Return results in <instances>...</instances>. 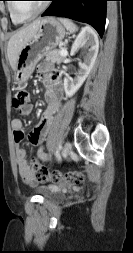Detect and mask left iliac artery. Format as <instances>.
Wrapping results in <instances>:
<instances>
[{
    "label": "left iliac artery",
    "instance_id": "44dca946",
    "mask_svg": "<svg viewBox=\"0 0 133 253\" xmlns=\"http://www.w3.org/2000/svg\"><path fill=\"white\" fill-rule=\"evenodd\" d=\"M61 146H59L58 148H57V150H56V156H57V158H59L60 157V150H61Z\"/></svg>",
    "mask_w": 133,
    "mask_h": 253
}]
</instances>
